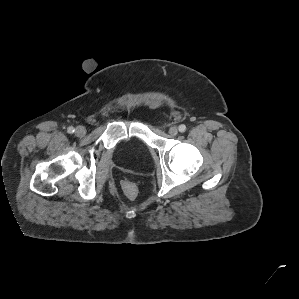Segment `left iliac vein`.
<instances>
[{
  "mask_svg": "<svg viewBox=\"0 0 299 299\" xmlns=\"http://www.w3.org/2000/svg\"><path fill=\"white\" fill-rule=\"evenodd\" d=\"M169 134L171 136H176L178 134V129L175 126L170 127Z\"/></svg>",
  "mask_w": 299,
  "mask_h": 299,
  "instance_id": "obj_1",
  "label": "left iliac vein"
}]
</instances>
